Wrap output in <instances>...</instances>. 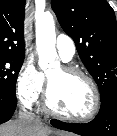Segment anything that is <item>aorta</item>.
<instances>
[{
    "instance_id": "1",
    "label": "aorta",
    "mask_w": 117,
    "mask_h": 136,
    "mask_svg": "<svg viewBox=\"0 0 117 136\" xmlns=\"http://www.w3.org/2000/svg\"><path fill=\"white\" fill-rule=\"evenodd\" d=\"M56 34L53 15L49 12L36 17V46L39 67L47 71L59 64L55 48Z\"/></svg>"
}]
</instances>
